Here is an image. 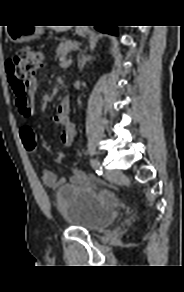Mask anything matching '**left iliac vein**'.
Listing matches in <instances>:
<instances>
[{
    "mask_svg": "<svg viewBox=\"0 0 184 292\" xmlns=\"http://www.w3.org/2000/svg\"><path fill=\"white\" fill-rule=\"evenodd\" d=\"M120 172L118 170H107L104 172V176L109 179V180H112V179H115L119 176Z\"/></svg>",
    "mask_w": 184,
    "mask_h": 292,
    "instance_id": "left-iliac-vein-1",
    "label": "left iliac vein"
}]
</instances>
